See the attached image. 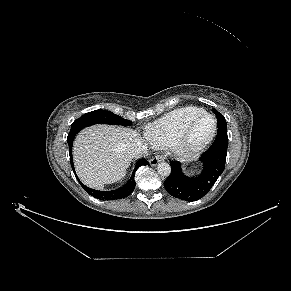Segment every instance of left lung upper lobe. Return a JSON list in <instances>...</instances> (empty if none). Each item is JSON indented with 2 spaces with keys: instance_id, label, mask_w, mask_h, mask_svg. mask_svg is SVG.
Returning a JSON list of instances; mask_svg holds the SVG:
<instances>
[{
  "instance_id": "obj_1",
  "label": "left lung upper lobe",
  "mask_w": 291,
  "mask_h": 291,
  "mask_svg": "<svg viewBox=\"0 0 291 291\" xmlns=\"http://www.w3.org/2000/svg\"><path fill=\"white\" fill-rule=\"evenodd\" d=\"M213 112L215 113L217 117V123H218V131H225L227 132V125L226 120L222 114H220L216 109H213Z\"/></svg>"
}]
</instances>
